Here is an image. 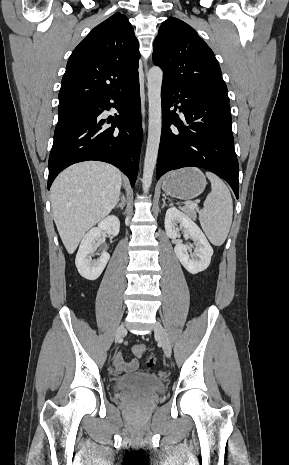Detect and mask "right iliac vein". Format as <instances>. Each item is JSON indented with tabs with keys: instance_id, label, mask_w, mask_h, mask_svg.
Instances as JSON below:
<instances>
[{
	"instance_id": "63e3f726",
	"label": "right iliac vein",
	"mask_w": 289,
	"mask_h": 465,
	"mask_svg": "<svg viewBox=\"0 0 289 465\" xmlns=\"http://www.w3.org/2000/svg\"><path fill=\"white\" fill-rule=\"evenodd\" d=\"M126 332V329L124 327V325L122 324L118 329H117V332H116V335H115V339H116V342L119 341L123 335L125 334Z\"/></svg>"
}]
</instances>
